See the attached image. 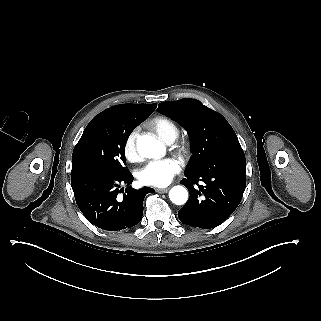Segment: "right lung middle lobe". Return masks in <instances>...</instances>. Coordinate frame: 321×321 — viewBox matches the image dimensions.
Wrapping results in <instances>:
<instances>
[{"instance_id":"1","label":"right lung middle lobe","mask_w":321,"mask_h":321,"mask_svg":"<svg viewBox=\"0 0 321 321\" xmlns=\"http://www.w3.org/2000/svg\"><path fill=\"white\" fill-rule=\"evenodd\" d=\"M136 123L112 120L100 113L85 128L72 154L73 166H95L117 173L128 171L124 164L125 144Z\"/></svg>"}]
</instances>
